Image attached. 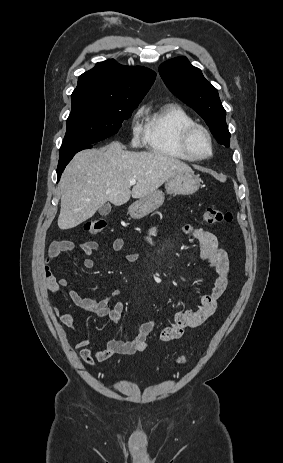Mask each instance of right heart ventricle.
Listing matches in <instances>:
<instances>
[{
    "label": "right heart ventricle",
    "mask_w": 283,
    "mask_h": 463,
    "mask_svg": "<svg viewBox=\"0 0 283 463\" xmlns=\"http://www.w3.org/2000/svg\"><path fill=\"white\" fill-rule=\"evenodd\" d=\"M193 117L182 106L167 103L155 110L147 111L143 127V139L147 148L161 156L191 161L181 146V134L192 125Z\"/></svg>",
    "instance_id": "1"
}]
</instances>
